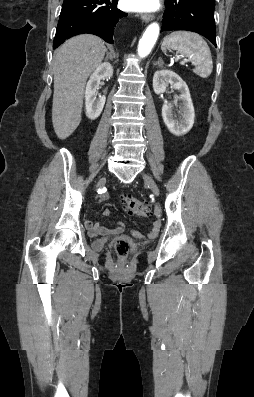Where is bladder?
Here are the masks:
<instances>
[{"label": "bladder", "instance_id": "obj_1", "mask_svg": "<svg viewBox=\"0 0 254 397\" xmlns=\"http://www.w3.org/2000/svg\"><path fill=\"white\" fill-rule=\"evenodd\" d=\"M96 245H97L98 247H100V248L103 247V243H102V242H97Z\"/></svg>", "mask_w": 254, "mask_h": 397}]
</instances>
